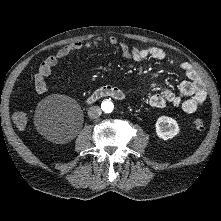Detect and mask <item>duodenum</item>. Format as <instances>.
Listing matches in <instances>:
<instances>
[{
	"instance_id": "1",
	"label": "duodenum",
	"mask_w": 221,
	"mask_h": 221,
	"mask_svg": "<svg viewBox=\"0 0 221 221\" xmlns=\"http://www.w3.org/2000/svg\"><path fill=\"white\" fill-rule=\"evenodd\" d=\"M102 97H112L116 100H123L125 98L124 92L115 86L111 85H106L102 86L96 91H94L88 98L87 102L88 103H93L96 100L102 98Z\"/></svg>"
}]
</instances>
